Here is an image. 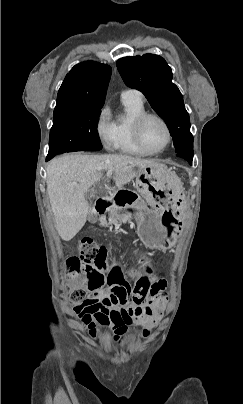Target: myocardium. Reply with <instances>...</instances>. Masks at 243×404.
Masks as SVG:
<instances>
[{"label":"myocardium","mask_w":243,"mask_h":404,"mask_svg":"<svg viewBox=\"0 0 243 404\" xmlns=\"http://www.w3.org/2000/svg\"><path fill=\"white\" fill-rule=\"evenodd\" d=\"M142 97H143V95H142ZM150 117L158 118L165 125L167 132H168V141H167L166 145L160 149H154V148H151L150 146H148L145 143V141L143 140L142 135H141L142 124L144 123V121L146 119H148ZM132 133H133V136H134L136 142L143 149H145L146 151L153 153V154L161 153V152L167 150L171 146L172 141H173V130H172L170 123L167 121V119L163 115H161L160 113L154 112V111H144L138 117H136L134 119V121L132 122Z\"/></svg>","instance_id":"obj_1"}]
</instances>
